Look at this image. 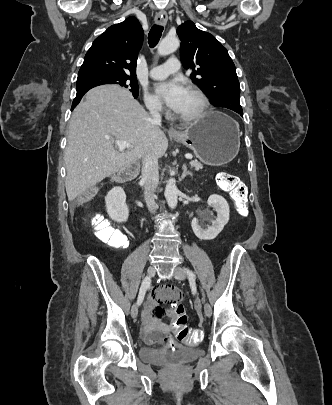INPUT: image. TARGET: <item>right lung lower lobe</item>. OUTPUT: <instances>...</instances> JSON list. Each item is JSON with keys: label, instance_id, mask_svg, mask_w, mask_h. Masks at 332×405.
Returning a JSON list of instances; mask_svg holds the SVG:
<instances>
[{"label": "right lung lower lobe", "instance_id": "98d812e1", "mask_svg": "<svg viewBox=\"0 0 332 405\" xmlns=\"http://www.w3.org/2000/svg\"><path fill=\"white\" fill-rule=\"evenodd\" d=\"M87 91H88V90L77 93L75 99L73 100V104H72L71 110H73V109L78 105V103L80 102L81 98L83 97V95H84ZM135 98H137V97H135Z\"/></svg>", "mask_w": 332, "mask_h": 405}]
</instances>
